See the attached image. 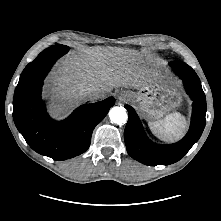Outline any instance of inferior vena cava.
<instances>
[{
	"label": "inferior vena cava",
	"instance_id": "inferior-vena-cava-1",
	"mask_svg": "<svg viewBox=\"0 0 221 221\" xmlns=\"http://www.w3.org/2000/svg\"><path fill=\"white\" fill-rule=\"evenodd\" d=\"M82 95L84 98L89 100H96L100 98L101 91L95 87H88L82 90Z\"/></svg>",
	"mask_w": 221,
	"mask_h": 221
}]
</instances>
